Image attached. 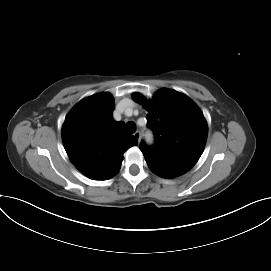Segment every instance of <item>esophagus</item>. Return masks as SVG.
<instances>
[{"label": "esophagus", "instance_id": "esophagus-1", "mask_svg": "<svg viewBox=\"0 0 271 271\" xmlns=\"http://www.w3.org/2000/svg\"><path fill=\"white\" fill-rule=\"evenodd\" d=\"M134 137L137 139L138 142H140V140H141V133H140V131H136L134 133Z\"/></svg>", "mask_w": 271, "mask_h": 271}]
</instances>
